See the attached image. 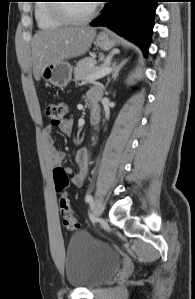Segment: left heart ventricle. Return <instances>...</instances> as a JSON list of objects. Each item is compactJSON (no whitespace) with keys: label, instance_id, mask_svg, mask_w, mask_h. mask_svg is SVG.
Returning <instances> with one entry per match:
<instances>
[{"label":"left heart ventricle","instance_id":"1","mask_svg":"<svg viewBox=\"0 0 195 299\" xmlns=\"http://www.w3.org/2000/svg\"><path fill=\"white\" fill-rule=\"evenodd\" d=\"M93 4V2L76 1L69 3L68 10L71 14L81 17L87 15L91 11Z\"/></svg>","mask_w":195,"mask_h":299}]
</instances>
